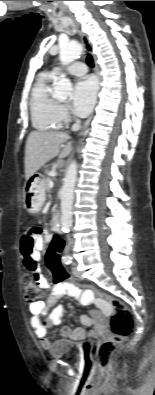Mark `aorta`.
Wrapping results in <instances>:
<instances>
[{
  "instance_id": "obj_1",
  "label": "aorta",
  "mask_w": 155,
  "mask_h": 395,
  "mask_svg": "<svg viewBox=\"0 0 155 395\" xmlns=\"http://www.w3.org/2000/svg\"><path fill=\"white\" fill-rule=\"evenodd\" d=\"M82 53V45L78 42H68L60 46L59 58L63 65H68L76 60ZM72 91L71 81L63 77L54 85V98L65 100ZM77 181V163L72 161L67 169L63 186L60 191L61 199V227L64 232H69L72 226V208L74 188Z\"/></svg>"
}]
</instances>
